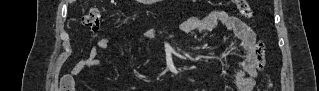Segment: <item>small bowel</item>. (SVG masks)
<instances>
[{
    "label": "small bowel",
    "instance_id": "1",
    "mask_svg": "<svg viewBox=\"0 0 319 91\" xmlns=\"http://www.w3.org/2000/svg\"><path fill=\"white\" fill-rule=\"evenodd\" d=\"M222 25L227 32L234 33L240 40L242 58L238 62L235 73V84L239 91H252L256 85V79L265 65V48L256 33L246 23L237 17L231 16L224 11H213L203 18L190 17L180 25V32L187 34L197 32L204 34L211 32ZM111 45L108 38L100 39L94 46L87 58L82 59L75 67L72 75L91 66H102L98 59L99 50L107 49Z\"/></svg>",
    "mask_w": 319,
    "mask_h": 91
}]
</instances>
